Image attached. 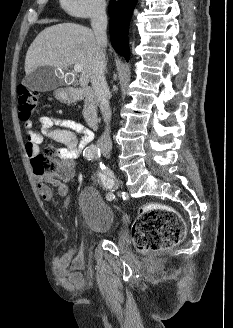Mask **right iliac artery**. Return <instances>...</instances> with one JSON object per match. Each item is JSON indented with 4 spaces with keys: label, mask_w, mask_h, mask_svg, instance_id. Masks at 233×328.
I'll return each mask as SVG.
<instances>
[{
    "label": "right iliac artery",
    "mask_w": 233,
    "mask_h": 328,
    "mask_svg": "<svg viewBox=\"0 0 233 328\" xmlns=\"http://www.w3.org/2000/svg\"><path fill=\"white\" fill-rule=\"evenodd\" d=\"M84 156L87 160H98L101 156L100 149L95 146L91 145L84 153ZM102 172L99 173L100 184L103 188L107 191L106 198L109 201L115 199V195L113 193L114 187V175L105 167H101Z\"/></svg>",
    "instance_id": "82829eb1"
}]
</instances>
